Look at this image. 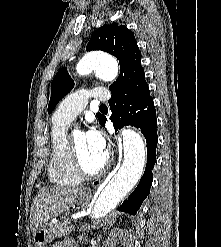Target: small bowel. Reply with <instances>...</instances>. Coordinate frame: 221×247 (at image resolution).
<instances>
[{"instance_id": "small-bowel-1", "label": "small bowel", "mask_w": 221, "mask_h": 247, "mask_svg": "<svg viewBox=\"0 0 221 247\" xmlns=\"http://www.w3.org/2000/svg\"><path fill=\"white\" fill-rule=\"evenodd\" d=\"M57 247H68V246H67V245L62 244V245H58Z\"/></svg>"}]
</instances>
